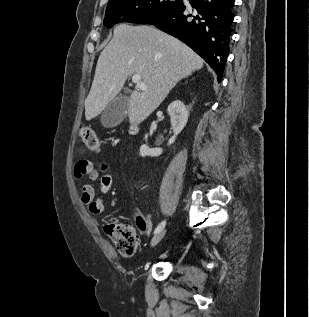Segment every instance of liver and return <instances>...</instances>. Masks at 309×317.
Masks as SVG:
<instances>
[{
	"mask_svg": "<svg viewBox=\"0 0 309 317\" xmlns=\"http://www.w3.org/2000/svg\"><path fill=\"white\" fill-rule=\"evenodd\" d=\"M203 67V60L178 39L151 26L120 24L101 52L85 100L87 121L97 117L118 95L128 76L139 74L146 90L128 99L131 124L143 122L183 78Z\"/></svg>",
	"mask_w": 309,
	"mask_h": 317,
	"instance_id": "6515ba94",
	"label": "liver"
}]
</instances>
